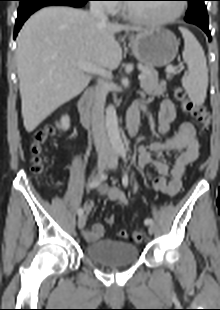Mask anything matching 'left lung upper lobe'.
Segmentation results:
<instances>
[{
    "instance_id": "obj_1",
    "label": "left lung upper lobe",
    "mask_w": 220,
    "mask_h": 310,
    "mask_svg": "<svg viewBox=\"0 0 220 310\" xmlns=\"http://www.w3.org/2000/svg\"><path fill=\"white\" fill-rule=\"evenodd\" d=\"M189 3L185 21L192 24L208 25L205 0H186Z\"/></svg>"
}]
</instances>
